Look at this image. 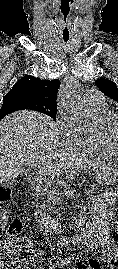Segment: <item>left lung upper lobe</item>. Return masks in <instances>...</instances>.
<instances>
[{
    "label": "left lung upper lobe",
    "mask_w": 118,
    "mask_h": 269,
    "mask_svg": "<svg viewBox=\"0 0 118 269\" xmlns=\"http://www.w3.org/2000/svg\"><path fill=\"white\" fill-rule=\"evenodd\" d=\"M96 84L105 95L118 102V87L114 82L105 78H100L96 80Z\"/></svg>",
    "instance_id": "1"
}]
</instances>
